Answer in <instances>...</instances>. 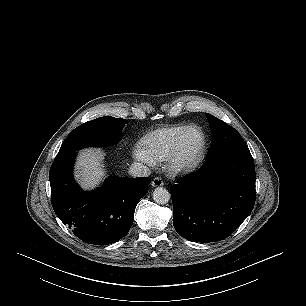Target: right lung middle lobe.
<instances>
[{
  "label": "right lung middle lobe",
  "mask_w": 306,
  "mask_h": 306,
  "mask_svg": "<svg viewBox=\"0 0 306 306\" xmlns=\"http://www.w3.org/2000/svg\"><path fill=\"white\" fill-rule=\"evenodd\" d=\"M125 123V119L100 117L78 126L62 143L55 160L82 148L107 146L119 141Z\"/></svg>",
  "instance_id": "obj_1"
}]
</instances>
